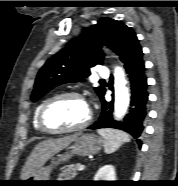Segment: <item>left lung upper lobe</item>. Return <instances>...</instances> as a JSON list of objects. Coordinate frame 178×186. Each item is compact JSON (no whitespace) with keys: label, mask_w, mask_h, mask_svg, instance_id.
<instances>
[{"label":"left lung upper lobe","mask_w":178,"mask_h":186,"mask_svg":"<svg viewBox=\"0 0 178 186\" xmlns=\"http://www.w3.org/2000/svg\"><path fill=\"white\" fill-rule=\"evenodd\" d=\"M101 45H107L119 55L124 67L142 53L131 28L117 20L101 18L96 25L69 41L65 48L44 64L36 77L31 100H39L60 84L84 81L83 78L90 74L92 67L103 63ZM95 91L102 99L106 89L100 86Z\"/></svg>","instance_id":"left-lung-upper-lobe-1"}]
</instances>
